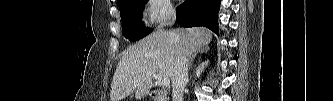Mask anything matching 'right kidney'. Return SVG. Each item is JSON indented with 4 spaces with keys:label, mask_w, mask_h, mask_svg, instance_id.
Returning a JSON list of instances; mask_svg holds the SVG:
<instances>
[{
    "label": "right kidney",
    "mask_w": 333,
    "mask_h": 101,
    "mask_svg": "<svg viewBox=\"0 0 333 101\" xmlns=\"http://www.w3.org/2000/svg\"><path fill=\"white\" fill-rule=\"evenodd\" d=\"M209 61L202 62L196 69V76L199 77Z\"/></svg>",
    "instance_id": "ca27d5eb"
}]
</instances>
